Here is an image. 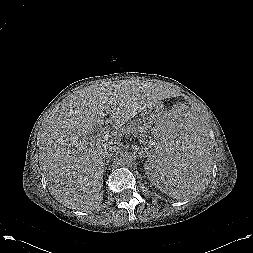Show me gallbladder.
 <instances>
[{
  "mask_svg": "<svg viewBox=\"0 0 253 253\" xmlns=\"http://www.w3.org/2000/svg\"><path fill=\"white\" fill-rule=\"evenodd\" d=\"M94 129H99V127H98V126H96V127H94Z\"/></svg>",
  "mask_w": 253,
  "mask_h": 253,
  "instance_id": "obj_1",
  "label": "gallbladder"
}]
</instances>
